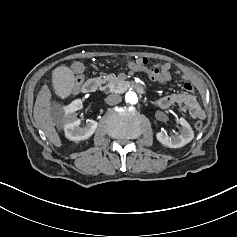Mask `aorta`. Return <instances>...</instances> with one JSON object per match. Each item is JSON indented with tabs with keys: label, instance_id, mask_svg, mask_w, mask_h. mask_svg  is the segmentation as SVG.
I'll list each match as a JSON object with an SVG mask.
<instances>
[{
	"label": "aorta",
	"instance_id": "obj_1",
	"mask_svg": "<svg viewBox=\"0 0 237 237\" xmlns=\"http://www.w3.org/2000/svg\"><path fill=\"white\" fill-rule=\"evenodd\" d=\"M125 100L127 103L136 104L138 102L137 94L133 91H128L125 95Z\"/></svg>",
	"mask_w": 237,
	"mask_h": 237
}]
</instances>
